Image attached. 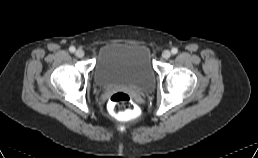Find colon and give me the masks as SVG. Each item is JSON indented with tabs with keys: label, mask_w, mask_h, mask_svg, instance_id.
Masks as SVG:
<instances>
[{
	"label": "colon",
	"mask_w": 258,
	"mask_h": 158,
	"mask_svg": "<svg viewBox=\"0 0 258 158\" xmlns=\"http://www.w3.org/2000/svg\"><path fill=\"white\" fill-rule=\"evenodd\" d=\"M108 108L112 115L125 118L134 109L132 97L126 92H115L108 101Z\"/></svg>",
	"instance_id": "colon-1"
}]
</instances>
